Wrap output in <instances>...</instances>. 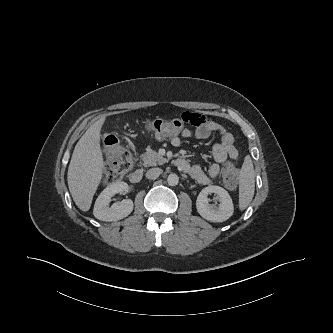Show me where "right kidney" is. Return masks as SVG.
I'll return each instance as SVG.
<instances>
[{
	"label": "right kidney",
	"instance_id": "1",
	"mask_svg": "<svg viewBox=\"0 0 333 333\" xmlns=\"http://www.w3.org/2000/svg\"><path fill=\"white\" fill-rule=\"evenodd\" d=\"M128 191V184L116 182L107 186L96 199L93 214L101 221H117L127 217L133 211V202L130 199L116 202L109 206L111 198L117 193Z\"/></svg>",
	"mask_w": 333,
	"mask_h": 333
}]
</instances>
